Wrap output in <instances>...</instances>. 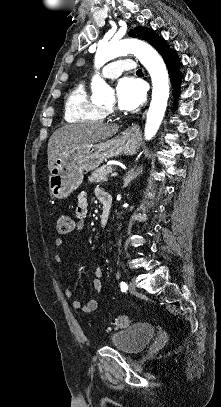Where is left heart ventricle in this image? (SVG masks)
<instances>
[{"mask_svg": "<svg viewBox=\"0 0 221 407\" xmlns=\"http://www.w3.org/2000/svg\"><path fill=\"white\" fill-rule=\"evenodd\" d=\"M106 106H108V107H112V106H114V101H111L110 103H108Z\"/></svg>", "mask_w": 221, "mask_h": 407, "instance_id": "left-heart-ventricle-1", "label": "left heart ventricle"}]
</instances>
